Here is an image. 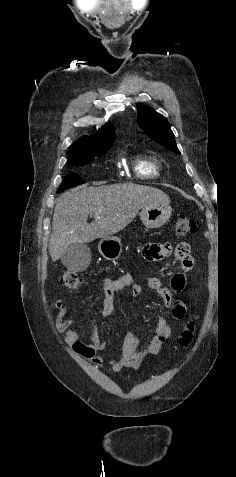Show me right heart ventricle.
Wrapping results in <instances>:
<instances>
[{"instance_id":"right-heart-ventricle-1","label":"right heart ventricle","mask_w":236,"mask_h":477,"mask_svg":"<svg viewBox=\"0 0 236 477\" xmlns=\"http://www.w3.org/2000/svg\"><path fill=\"white\" fill-rule=\"evenodd\" d=\"M136 173L143 178H153L159 173L157 161L152 158H141L135 165Z\"/></svg>"}]
</instances>
